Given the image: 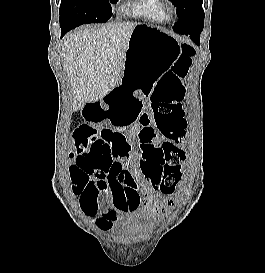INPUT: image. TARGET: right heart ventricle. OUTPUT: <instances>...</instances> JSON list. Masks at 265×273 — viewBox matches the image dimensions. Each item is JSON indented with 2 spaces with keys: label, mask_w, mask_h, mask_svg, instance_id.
Returning <instances> with one entry per match:
<instances>
[{
  "label": "right heart ventricle",
  "mask_w": 265,
  "mask_h": 273,
  "mask_svg": "<svg viewBox=\"0 0 265 273\" xmlns=\"http://www.w3.org/2000/svg\"><path fill=\"white\" fill-rule=\"evenodd\" d=\"M166 8L164 0H138L133 13L155 23H166L169 20Z\"/></svg>",
  "instance_id": "obj_1"
}]
</instances>
